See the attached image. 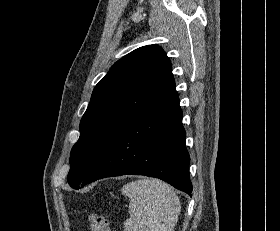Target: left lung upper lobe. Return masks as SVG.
Segmentation results:
<instances>
[{
    "instance_id": "obj_1",
    "label": "left lung upper lobe",
    "mask_w": 280,
    "mask_h": 231,
    "mask_svg": "<svg viewBox=\"0 0 280 231\" xmlns=\"http://www.w3.org/2000/svg\"><path fill=\"white\" fill-rule=\"evenodd\" d=\"M174 90L171 62L159 46L140 47L118 60L94 88L80 121L69 185L78 189L111 141Z\"/></svg>"
}]
</instances>
